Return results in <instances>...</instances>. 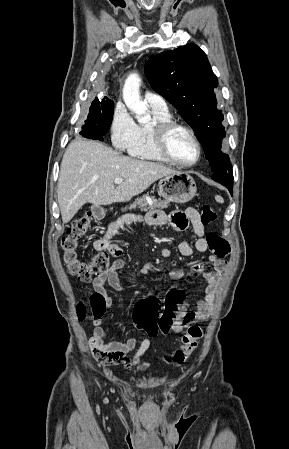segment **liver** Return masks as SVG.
I'll return each mask as SVG.
<instances>
[{
	"label": "liver",
	"instance_id": "liver-1",
	"mask_svg": "<svg viewBox=\"0 0 289 449\" xmlns=\"http://www.w3.org/2000/svg\"><path fill=\"white\" fill-rule=\"evenodd\" d=\"M176 170L124 156L102 143L72 141L63 156L57 196L62 221L68 223L85 203L95 206L128 202ZM122 178L117 187L114 180Z\"/></svg>",
	"mask_w": 289,
	"mask_h": 449
}]
</instances>
